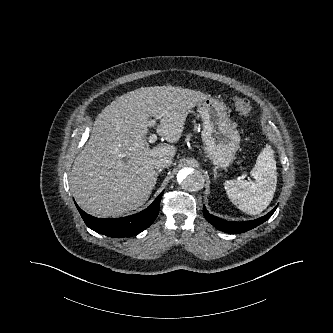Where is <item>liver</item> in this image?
I'll return each mask as SVG.
<instances>
[{"label": "liver", "mask_w": 333, "mask_h": 333, "mask_svg": "<svg viewBox=\"0 0 333 333\" xmlns=\"http://www.w3.org/2000/svg\"><path fill=\"white\" fill-rule=\"evenodd\" d=\"M207 97L164 85L141 87L112 101L95 119L90 139L72 166L70 191L79 206L100 218L119 217L142 206L153 190L154 160L176 154L167 143L149 147V118L158 119L157 132L176 143L188 114Z\"/></svg>", "instance_id": "obj_1"}]
</instances>
